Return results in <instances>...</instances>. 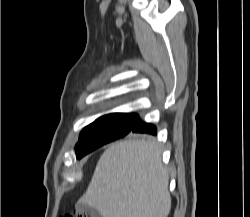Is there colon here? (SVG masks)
Returning a JSON list of instances; mask_svg holds the SVG:
<instances>
[{"label":"colon","instance_id":"1","mask_svg":"<svg viewBox=\"0 0 250 217\" xmlns=\"http://www.w3.org/2000/svg\"><path fill=\"white\" fill-rule=\"evenodd\" d=\"M64 217H88V215L79 211H70Z\"/></svg>","mask_w":250,"mask_h":217}]
</instances>
